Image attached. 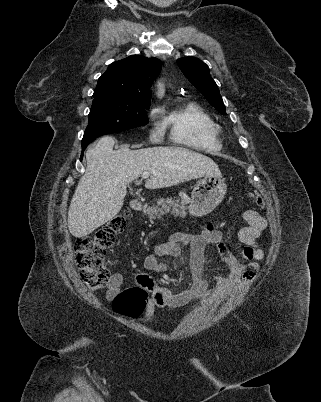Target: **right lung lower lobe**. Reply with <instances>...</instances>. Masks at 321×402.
I'll list each match as a JSON object with an SVG mask.
<instances>
[{"label":"right lung lower lobe","instance_id":"98d812e1","mask_svg":"<svg viewBox=\"0 0 321 402\" xmlns=\"http://www.w3.org/2000/svg\"><path fill=\"white\" fill-rule=\"evenodd\" d=\"M94 140H82V154H81V159L83 158V153L86 147Z\"/></svg>","mask_w":321,"mask_h":402}]
</instances>
